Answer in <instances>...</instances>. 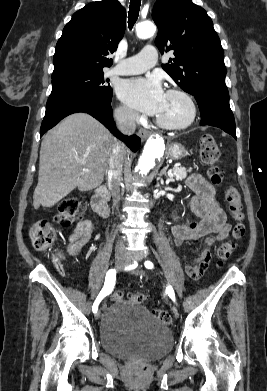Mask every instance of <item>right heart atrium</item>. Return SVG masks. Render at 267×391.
<instances>
[{
	"instance_id": "right-heart-atrium-1",
	"label": "right heart atrium",
	"mask_w": 267,
	"mask_h": 391,
	"mask_svg": "<svg viewBox=\"0 0 267 391\" xmlns=\"http://www.w3.org/2000/svg\"><path fill=\"white\" fill-rule=\"evenodd\" d=\"M116 119L123 124H132L137 119V114L125 105H119L115 111Z\"/></svg>"
}]
</instances>
